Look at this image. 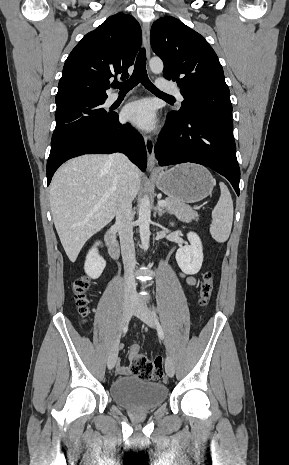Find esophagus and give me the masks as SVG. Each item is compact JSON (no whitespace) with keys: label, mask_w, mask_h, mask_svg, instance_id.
<instances>
[{"label":"esophagus","mask_w":289,"mask_h":465,"mask_svg":"<svg viewBox=\"0 0 289 465\" xmlns=\"http://www.w3.org/2000/svg\"><path fill=\"white\" fill-rule=\"evenodd\" d=\"M143 43L146 49L147 58H150V24L145 22L142 26ZM144 143L147 152V168L155 170L154 141L150 135H144Z\"/></svg>","instance_id":"1"}]
</instances>
